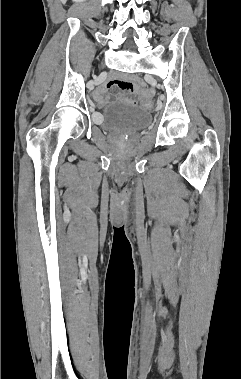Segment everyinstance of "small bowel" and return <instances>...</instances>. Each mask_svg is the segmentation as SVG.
<instances>
[{
    "mask_svg": "<svg viewBox=\"0 0 241 379\" xmlns=\"http://www.w3.org/2000/svg\"><path fill=\"white\" fill-rule=\"evenodd\" d=\"M119 87L125 91H131L133 89V84L127 80H121L117 78L108 79L101 87L95 90L94 99L99 106H104L106 103L105 100V92L112 87ZM124 100L128 102H135V100L131 97L124 96Z\"/></svg>",
    "mask_w": 241,
    "mask_h": 379,
    "instance_id": "c3829d8e",
    "label": "small bowel"
}]
</instances>
